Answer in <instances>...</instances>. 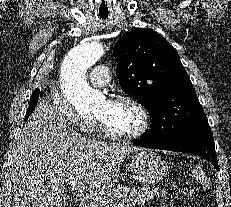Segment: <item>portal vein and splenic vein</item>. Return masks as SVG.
<instances>
[{"label":"portal vein and splenic vein","mask_w":231,"mask_h":207,"mask_svg":"<svg viewBox=\"0 0 231 207\" xmlns=\"http://www.w3.org/2000/svg\"><path fill=\"white\" fill-rule=\"evenodd\" d=\"M70 184L73 188L77 189L81 194H85L86 198L93 201H100L103 203L104 196L99 195V193L94 192L92 190H88L87 186L83 184H76L74 181H70ZM125 207L124 203H110L108 207Z\"/></svg>","instance_id":"obj_1"}]
</instances>
